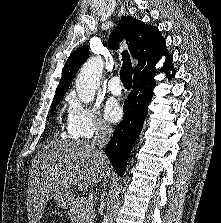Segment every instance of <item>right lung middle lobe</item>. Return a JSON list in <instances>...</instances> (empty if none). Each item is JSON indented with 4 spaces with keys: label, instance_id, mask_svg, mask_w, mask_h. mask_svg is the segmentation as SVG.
<instances>
[{
    "label": "right lung middle lobe",
    "instance_id": "obj_1",
    "mask_svg": "<svg viewBox=\"0 0 221 223\" xmlns=\"http://www.w3.org/2000/svg\"><path fill=\"white\" fill-rule=\"evenodd\" d=\"M61 99H62V98L53 99V103H52L53 108L51 109V113L54 112V110H55V106L61 101Z\"/></svg>",
    "mask_w": 221,
    "mask_h": 223
}]
</instances>
